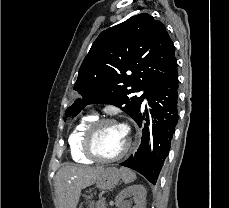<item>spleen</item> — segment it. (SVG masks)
Masks as SVG:
<instances>
[{"instance_id": "3e777b00", "label": "spleen", "mask_w": 229, "mask_h": 208, "mask_svg": "<svg viewBox=\"0 0 229 208\" xmlns=\"http://www.w3.org/2000/svg\"><path fill=\"white\" fill-rule=\"evenodd\" d=\"M119 172L124 184H130V182H134V180H136V174L131 172V170H128V168H120Z\"/></svg>"}]
</instances>
